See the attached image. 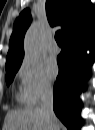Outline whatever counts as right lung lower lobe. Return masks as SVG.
<instances>
[{"instance_id": "98d812e1", "label": "right lung lower lobe", "mask_w": 95, "mask_h": 130, "mask_svg": "<svg viewBox=\"0 0 95 130\" xmlns=\"http://www.w3.org/2000/svg\"><path fill=\"white\" fill-rule=\"evenodd\" d=\"M95 24L81 33L66 38L58 56L59 75L54 84V111L69 130L82 125L79 94L85 89L84 81L90 75L89 66L94 60ZM86 50H90L89 55Z\"/></svg>"}]
</instances>
